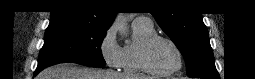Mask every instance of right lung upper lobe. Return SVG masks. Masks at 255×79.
Masks as SVG:
<instances>
[{"mask_svg":"<svg viewBox=\"0 0 255 79\" xmlns=\"http://www.w3.org/2000/svg\"><path fill=\"white\" fill-rule=\"evenodd\" d=\"M51 12L50 24L69 23L81 26L109 28L116 12L104 11L107 4L100 0H65Z\"/></svg>","mask_w":255,"mask_h":79,"instance_id":"cb5924a9","label":"right lung upper lobe"}]
</instances>
